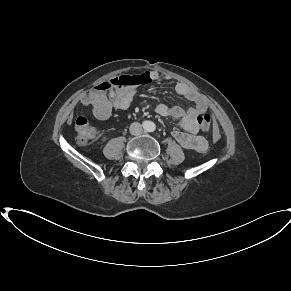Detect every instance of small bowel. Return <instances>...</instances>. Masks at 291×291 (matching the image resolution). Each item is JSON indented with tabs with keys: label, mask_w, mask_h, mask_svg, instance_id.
<instances>
[{
	"label": "small bowel",
	"mask_w": 291,
	"mask_h": 291,
	"mask_svg": "<svg viewBox=\"0 0 291 291\" xmlns=\"http://www.w3.org/2000/svg\"><path fill=\"white\" fill-rule=\"evenodd\" d=\"M140 80L153 81L158 80L160 75L156 71L142 74ZM169 76H166L168 79ZM175 91L185 99L192 101L193 106L184 109L179 106H168L160 103L156 106L155 111L163 117H173L179 120L180 126L184 131L175 130L172 136L184 148L204 152L207 150L208 143L206 139L199 135V126L197 117L206 112L207 102L198 95L191 87L183 82L175 86ZM137 90L134 87L119 88L109 94V97L96 99L92 92H89L83 101H90L93 109V115L97 119H106L111 113V109L126 110L132 104Z\"/></svg>",
	"instance_id": "small-bowel-1"
}]
</instances>
